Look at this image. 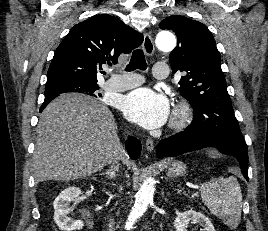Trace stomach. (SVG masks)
I'll return each mask as SVG.
<instances>
[{
    "mask_svg": "<svg viewBox=\"0 0 268 231\" xmlns=\"http://www.w3.org/2000/svg\"><path fill=\"white\" fill-rule=\"evenodd\" d=\"M186 165L182 161H174L166 168L167 174L170 177L181 176L186 172Z\"/></svg>",
    "mask_w": 268,
    "mask_h": 231,
    "instance_id": "stomach-1",
    "label": "stomach"
}]
</instances>
